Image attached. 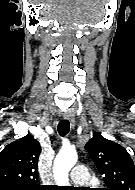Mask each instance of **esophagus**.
I'll use <instances>...</instances> for the list:
<instances>
[{
	"instance_id": "1",
	"label": "esophagus",
	"mask_w": 135,
	"mask_h": 190,
	"mask_svg": "<svg viewBox=\"0 0 135 190\" xmlns=\"http://www.w3.org/2000/svg\"><path fill=\"white\" fill-rule=\"evenodd\" d=\"M62 117H63L64 120H69V121L71 122V125L74 127L75 122H74V117H73V115L71 114V112L65 111V112L62 114Z\"/></svg>"
}]
</instances>
